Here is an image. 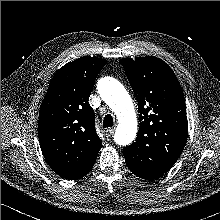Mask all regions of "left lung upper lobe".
<instances>
[{
    "mask_svg": "<svg viewBox=\"0 0 220 220\" xmlns=\"http://www.w3.org/2000/svg\"><path fill=\"white\" fill-rule=\"evenodd\" d=\"M138 101L140 127L136 141L123 148L134 166L169 171L188 135L182 88L173 70L151 56L120 60Z\"/></svg>",
    "mask_w": 220,
    "mask_h": 220,
    "instance_id": "5c2ea615",
    "label": "left lung upper lobe"
}]
</instances>
